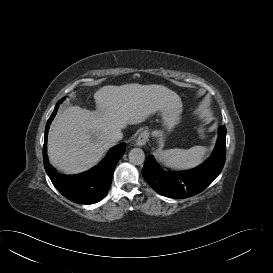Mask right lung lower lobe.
Instances as JSON below:
<instances>
[{
    "label": "right lung lower lobe",
    "mask_w": 273,
    "mask_h": 273,
    "mask_svg": "<svg viewBox=\"0 0 273 273\" xmlns=\"http://www.w3.org/2000/svg\"><path fill=\"white\" fill-rule=\"evenodd\" d=\"M62 101L63 99L58 101L46 124L43 146L44 167L53 185L67 199L78 204H94L107 195L115 166L123 156L126 145L119 144L113 147L106 157L89 171L76 175L58 173L48 162L47 136L50 123Z\"/></svg>",
    "instance_id": "98d812e1"
}]
</instances>
